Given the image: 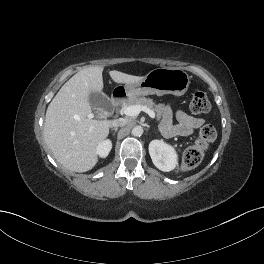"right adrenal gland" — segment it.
I'll use <instances>...</instances> for the list:
<instances>
[{"label":"right adrenal gland","instance_id":"obj_1","mask_svg":"<svg viewBox=\"0 0 264 264\" xmlns=\"http://www.w3.org/2000/svg\"><path fill=\"white\" fill-rule=\"evenodd\" d=\"M118 128H114V129H111V131H115V133L117 132Z\"/></svg>","mask_w":264,"mask_h":264}]
</instances>
